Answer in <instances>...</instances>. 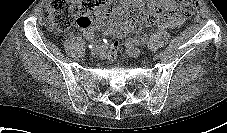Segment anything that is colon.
<instances>
[{"label":"colon","mask_w":227,"mask_h":133,"mask_svg":"<svg viewBox=\"0 0 227 133\" xmlns=\"http://www.w3.org/2000/svg\"><path fill=\"white\" fill-rule=\"evenodd\" d=\"M111 0H49L45 12V20L51 30L62 33L70 28L83 31L90 28L93 20L99 18L110 8ZM177 5V14L181 17H190L198 7L197 0H174ZM130 18L135 24L162 23L167 15L159 9H151L147 14L143 9L132 7ZM118 43L112 45L110 57L117 51Z\"/></svg>","instance_id":"5ec220e1"}]
</instances>
